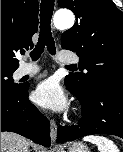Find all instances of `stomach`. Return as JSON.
Here are the masks:
<instances>
[{"instance_id": "obj_1", "label": "stomach", "mask_w": 123, "mask_h": 152, "mask_svg": "<svg viewBox=\"0 0 123 152\" xmlns=\"http://www.w3.org/2000/svg\"><path fill=\"white\" fill-rule=\"evenodd\" d=\"M68 152H90L88 147L82 142H74L68 148Z\"/></svg>"}]
</instances>
